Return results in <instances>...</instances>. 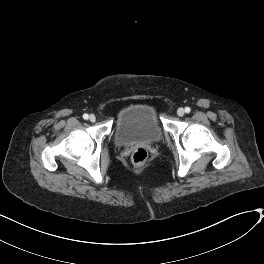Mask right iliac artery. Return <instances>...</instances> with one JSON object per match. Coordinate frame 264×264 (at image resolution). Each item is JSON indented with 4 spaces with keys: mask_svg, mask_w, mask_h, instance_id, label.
I'll list each match as a JSON object with an SVG mask.
<instances>
[{
    "mask_svg": "<svg viewBox=\"0 0 264 264\" xmlns=\"http://www.w3.org/2000/svg\"><path fill=\"white\" fill-rule=\"evenodd\" d=\"M88 117H89V116H88V114H86V113L83 115V118H84L85 120H87Z\"/></svg>",
    "mask_w": 264,
    "mask_h": 264,
    "instance_id": "1",
    "label": "right iliac artery"
}]
</instances>
